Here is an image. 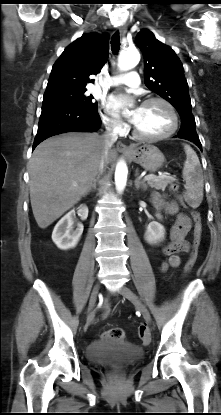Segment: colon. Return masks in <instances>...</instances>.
I'll use <instances>...</instances> for the list:
<instances>
[{
  "instance_id": "1",
  "label": "colon",
  "mask_w": 221,
  "mask_h": 415,
  "mask_svg": "<svg viewBox=\"0 0 221 415\" xmlns=\"http://www.w3.org/2000/svg\"><path fill=\"white\" fill-rule=\"evenodd\" d=\"M169 186L172 189V191L174 192V196L181 203L180 207L185 208L186 204L183 203L185 195L179 190L180 189L179 188L180 187L179 179L178 178H173L170 181ZM191 215H192V218H193V221H194V233H193L192 248H191V251H190L188 261L185 265V273L186 274H188L192 270V268L195 264V261L197 259L198 247L200 245L201 235H202V220H201L200 214L197 211L192 210ZM105 336L107 338L111 339V340L122 341L125 338V333H124L123 329L116 327V328L110 329L106 333ZM138 336L143 341H148L150 339L149 330L144 324L139 325V327H138Z\"/></svg>"
}]
</instances>
